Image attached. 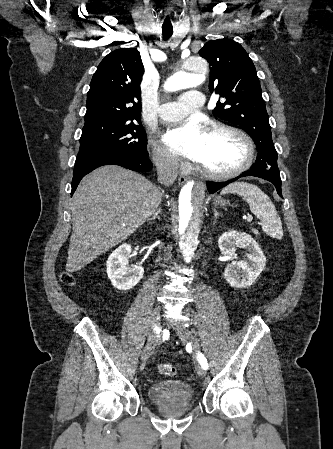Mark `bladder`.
<instances>
[{"label":"bladder","instance_id":"obj_1","mask_svg":"<svg viewBox=\"0 0 333 449\" xmlns=\"http://www.w3.org/2000/svg\"><path fill=\"white\" fill-rule=\"evenodd\" d=\"M147 396L155 406H183L193 402L194 390L184 381L164 380L151 384Z\"/></svg>","mask_w":333,"mask_h":449}]
</instances>
